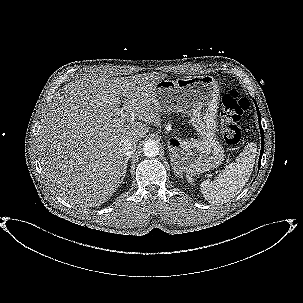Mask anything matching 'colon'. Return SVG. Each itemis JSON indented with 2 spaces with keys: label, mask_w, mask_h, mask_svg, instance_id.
Listing matches in <instances>:
<instances>
[{
  "label": "colon",
  "mask_w": 303,
  "mask_h": 303,
  "mask_svg": "<svg viewBox=\"0 0 303 303\" xmlns=\"http://www.w3.org/2000/svg\"><path fill=\"white\" fill-rule=\"evenodd\" d=\"M249 102L236 91L230 90L222 97L220 111L221 135L230 145H236L241 139V116L248 110Z\"/></svg>",
  "instance_id": "colon-1"
}]
</instances>
